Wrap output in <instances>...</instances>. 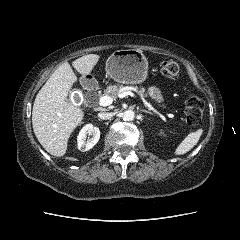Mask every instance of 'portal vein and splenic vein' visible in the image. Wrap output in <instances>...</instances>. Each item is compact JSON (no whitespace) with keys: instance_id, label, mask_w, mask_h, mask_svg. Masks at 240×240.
Here are the masks:
<instances>
[{"instance_id":"1","label":"portal vein and splenic vein","mask_w":240,"mask_h":240,"mask_svg":"<svg viewBox=\"0 0 240 240\" xmlns=\"http://www.w3.org/2000/svg\"><path fill=\"white\" fill-rule=\"evenodd\" d=\"M123 90H125V88H124ZM127 95H131V92H129V91L123 92V93L119 94V97H120V98H123V97H125V96H127ZM112 102H113V99H112L110 96H102V97H100V99H99V105H100V106H109V105L112 104ZM167 116H168L169 118H173V117H174V115H173V114H170V113L167 114Z\"/></svg>"}]
</instances>
